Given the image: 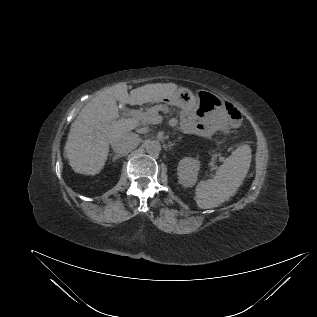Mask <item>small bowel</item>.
Listing matches in <instances>:
<instances>
[{
    "label": "small bowel",
    "instance_id": "1",
    "mask_svg": "<svg viewBox=\"0 0 317 317\" xmlns=\"http://www.w3.org/2000/svg\"><path fill=\"white\" fill-rule=\"evenodd\" d=\"M183 128L190 134L210 136L218 130L219 122L213 117L206 118L202 123H196L192 120H185L183 123Z\"/></svg>",
    "mask_w": 317,
    "mask_h": 317
}]
</instances>
